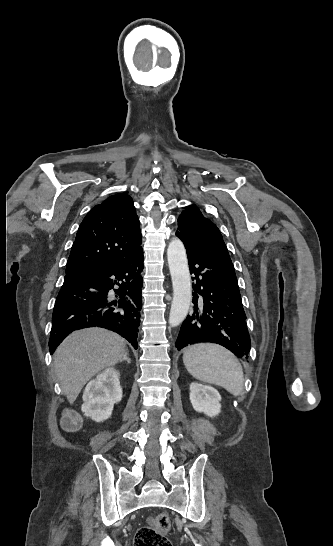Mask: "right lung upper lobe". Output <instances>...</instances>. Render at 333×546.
Segmentation results:
<instances>
[{
	"instance_id": "cb5924a9",
	"label": "right lung upper lobe",
	"mask_w": 333,
	"mask_h": 546,
	"mask_svg": "<svg viewBox=\"0 0 333 546\" xmlns=\"http://www.w3.org/2000/svg\"><path fill=\"white\" fill-rule=\"evenodd\" d=\"M139 225L133 200L127 194L110 196L96 205L79 226L66 274L133 258L142 249Z\"/></svg>"
}]
</instances>
